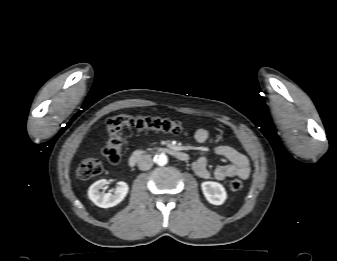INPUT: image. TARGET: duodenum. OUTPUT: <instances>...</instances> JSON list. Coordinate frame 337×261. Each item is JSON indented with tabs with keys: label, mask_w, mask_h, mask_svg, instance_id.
I'll return each instance as SVG.
<instances>
[{
	"label": "duodenum",
	"mask_w": 337,
	"mask_h": 261,
	"mask_svg": "<svg viewBox=\"0 0 337 261\" xmlns=\"http://www.w3.org/2000/svg\"><path fill=\"white\" fill-rule=\"evenodd\" d=\"M158 152L161 153H167L172 155L173 157L177 158L180 161L186 162L189 159V156L186 152L177 149L175 147H168V146H163V147H159L157 148ZM146 151L139 149L136 150L135 152L132 153V155L129 158V165L134 167L139 161H141L143 159V157L145 156Z\"/></svg>",
	"instance_id": "obj_1"
}]
</instances>
